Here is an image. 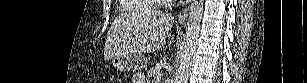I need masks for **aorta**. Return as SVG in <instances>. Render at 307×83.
<instances>
[{"instance_id": "1", "label": "aorta", "mask_w": 307, "mask_h": 83, "mask_svg": "<svg viewBox=\"0 0 307 83\" xmlns=\"http://www.w3.org/2000/svg\"><path fill=\"white\" fill-rule=\"evenodd\" d=\"M203 0H192L189 18L185 32V44L176 71L175 83H187L193 67L197 50L201 20L203 15Z\"/></svg>"}]
</instances>
